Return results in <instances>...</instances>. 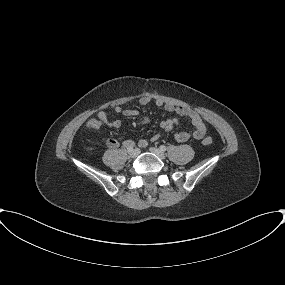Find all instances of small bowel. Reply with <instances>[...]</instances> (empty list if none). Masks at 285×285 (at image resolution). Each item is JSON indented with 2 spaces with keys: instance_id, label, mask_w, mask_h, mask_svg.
<instances>
[{
  "instance_id": "1",
  "label": "small bowel",
  "mask_w": 285,
  "mask_h": 285,
  "mask_svg": "<svg viewBox=\"0 0 285 285\" xmlns=\"http://www.w3.org/2000/svg\"><path fill=\"white\" fill-rule=\"evenodd\" d=\"M152 101H154V103L157 106L163 107L167 112L176 113L179 117H187L191 121V124L193 125V131L192 132L181 131L176 133L174 135V138L177 142L183 143L188 141L190 138H193L195 140H201L205 137L207 132L206 125L202 120L201 116L196 111L186 107L175 106L174 104L164 102L161 99L153 100L151 97L148 96H143L138 100L139 104L143 106L149 104ZM114 111L117 114L126 117H133L139 115L138 110L127 109L122 106H116ZM144 121L148 122V118L144 117ZM178 124H179V118L174 117L162 120L160 126L164 131L169 132ZM103 125L118 129L121 127V121L117 119L110 120L107 113L101 111L98 113L96 118H92L87 122L86 128L89 131H96ZM159 138L160 134L155 133L152 135L151 141H157ZM148 143L149 142L147 139H140L138 141V146L141 148H146L148 146ZM107 145L111 148H118L120 146V142L115 138H110L107 140ZM123 145L133 146L134 142L132 140H126L123 142Z\"/></svg>"
}]
</instances>
